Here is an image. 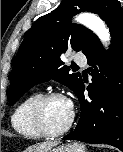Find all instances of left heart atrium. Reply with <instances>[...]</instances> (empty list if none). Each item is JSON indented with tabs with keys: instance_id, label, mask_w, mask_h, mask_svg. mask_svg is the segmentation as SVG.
I'll list each match as a JSON object with an SVG mask.
<instances>
[{
	"instance_id": "left-heart-atrium-1",
	"label": "left heart atrium",
	"mask_w": 123,
	"mask_h": 152,
	"mask_svg": "<svg viewBox=\"0 0 123 152\" xmlns=\"http://www.w3.org/2000/svg\"><path fill=\"white\" fill-rule=\"evenodd\" d=\"M67 103H68L69 107L72 109V102H71V100L67 99Z\"/></svg>"
}]
</instances>
